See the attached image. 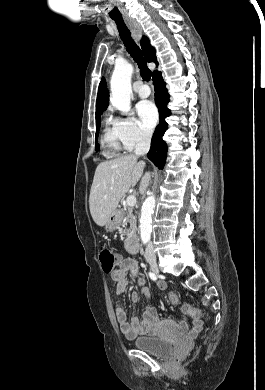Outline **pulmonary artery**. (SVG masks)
Listing matches in <instances>:
<instances>
[{
  "instance_id": "e3ab8cb5",
  "label": "pulmonary artery",
  "mask_w": 265,
  "mask_h": 390,
  "mask_svg": "<svg viewBox=\"0 0 265 390\" xmlns=\"http://www.w3.org/2000/svg\"><path fill=\"white\" fill-rule=\"evenodd\" d=\"M136 93L140 98H147L150 95V88L145 84H141L137 87Z\"/></svg>"
}]
</instances>
